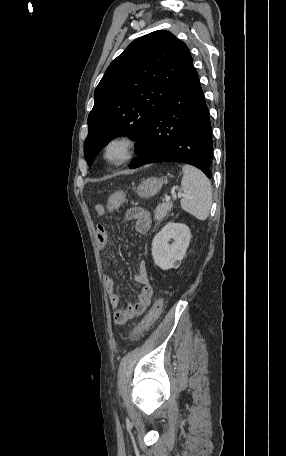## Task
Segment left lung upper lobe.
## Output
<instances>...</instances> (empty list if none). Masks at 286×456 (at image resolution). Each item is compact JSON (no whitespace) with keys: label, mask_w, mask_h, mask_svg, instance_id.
<instances>
[{"label":"left lung upper lobe","mask_w":286,"mask_h":456,"mask_svg":"<svg viewBox=\"0 0 286 456\" xmlns=\"http://www.w3.org/2000/svg\"><path fill=\"white\" fill-rule=\"evenodd\" d=\"M191 64L186 44L168 31H154L129 44L111 62L95 89L84 143L88 165L118 135L130 136L139 145L168 94Z\"/></svg>","instance_id":"left-lung-upper-lobe-1"}]
</instances>
